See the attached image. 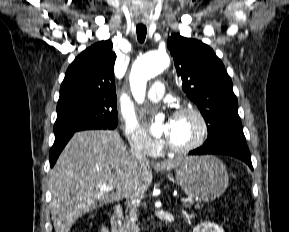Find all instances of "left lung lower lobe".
Listing matches in <instances>:
<instances>
[{
  "instance_id": "1",
  "label": "left lung lower lobe",
  "mask_w": 289,
  "mask_h": 232,
  "mask_svg": "<svg viewBox=\"0 0 289 232\" xmlns=\"http://www.w3.org/2000/svg\"><path fill=\"white\" fill-rule=\"evenodd\" d=\"M190 155L223 154L236 157L244 161L253 170L251 157L246 142L243 140L228 141L210 146H201L191 152Z\"/></svg>"
}]
</instances>
